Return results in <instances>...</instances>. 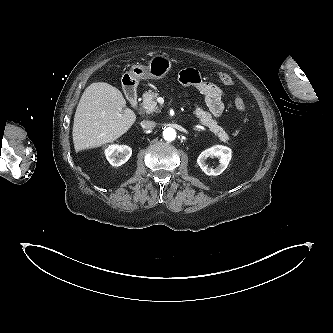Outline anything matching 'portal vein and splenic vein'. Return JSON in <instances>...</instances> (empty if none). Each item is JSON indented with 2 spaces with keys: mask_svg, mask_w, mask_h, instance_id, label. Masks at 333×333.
<instances>
[{
  "mask_svg": "<svg viewBox=\"0 0 333 333\" xmlns=\"http://www.w3.org/2000/svg\"><path fill=\"white\" fill-rule=\"evenodd\" d=\"M158 102L162 104L164 102L163 98H158Z\"/></svg>",
  "mask_w": 333,
  "mask_h": 333,
  "instance_id": "obj_1",
  "label": "portal vein and splenic vein"
}]
</instances>
